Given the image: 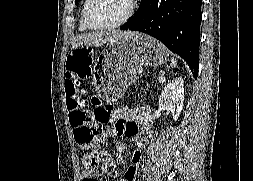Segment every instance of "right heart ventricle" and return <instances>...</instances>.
Here are the masks:
<instances>
[{"mask_svg":"<svg viewBox=\"0 0 253 181\" xmlns=\"http://www.w3.org/2000/svg\"><path fill=\"white\" fill-rule=\"evenodd\" d=\"M86 3V0L83 1V5H82V11H81V17H80V22H79V29L81 31H87L89 30V28H87L83 22V18H82V12H83V8H84V5Z\"/></svg>","mask_w":253,"mask_h":181,"instance_id":"1","label":"right heart ventricle"}]
</instances>
